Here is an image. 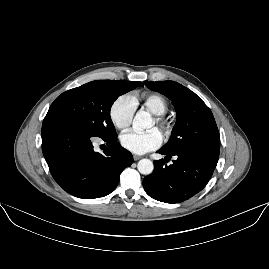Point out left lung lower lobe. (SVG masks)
Listing matches in <instances>:
<instances>
[{
    "label": "left lung lower lobe",
    "mask_w": 269,
    "mask_h": 269,
    "mask_svg": "<svg viewBox=\"0 0 269 269\" xmlns=\"http://www.w3.org/2000/svg\"><path fill=\"white\" fill-rule=\"evenodd\" d=\"M158 153L166 155L171 165L164 159L154 162V171L143 180L146 193L155 200L166 203L185 201L201 191L218 162V156L204 152L169 150L162 147Z\"/></svg>",
    "instance_id": "1"
}]
</instances>
